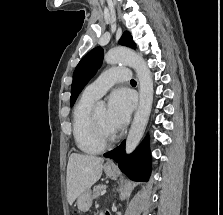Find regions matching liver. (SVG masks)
<instances>
[{"instance_id": "liver-1", "label": "liver", "mask_w": 223, "mask_h": 215, "mask_svg": "<svg viewBox=\"0 0 223 215\" xmlns=\"http://www.w3.org/2000/svg\"><path fill=\"white\" fill-rule=\"evenodd\" d=\"M103 157L71 153L67 165V201L72 205L78 195L88 191L102 175Z\"/></svg>"}]
</instances>
